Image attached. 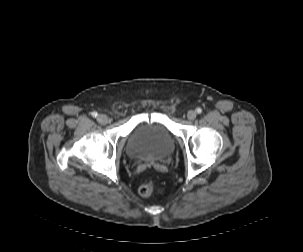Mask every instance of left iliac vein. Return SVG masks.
I'll list each match as a JSON object with an SVG mask.
<instances>
[{
	"mask_svg": "<svg viewBox=\"0 0 303 252\" xmlns=\"http://www.w3.org/2000/svg\"><path fill=\"white\" fill-rule=\"evenodd\" d=\"M197 114L195 111L193 110H190L188 113H187V118L189 120H194L196 118Z\"/></svg>",
	"mask_w": 303,
	"mask_h": 252,
	"instance_id": "left-iliac-vein-1",
	"label": "left iliac vein"
}]
</instances>
